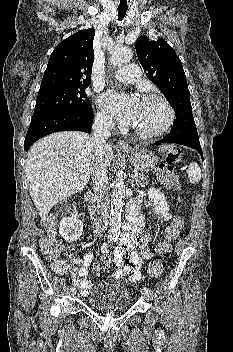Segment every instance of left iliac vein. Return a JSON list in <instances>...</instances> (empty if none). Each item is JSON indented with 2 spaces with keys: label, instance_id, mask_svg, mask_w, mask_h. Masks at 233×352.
Instances as JSON below:
<instances>
[{
  "label": "left iliac vein",
  "instance_id": "4c4485c4",
  "mask_svg": "<svg viewBox=\"0 0 233 352\" xmlns=\"http://www.w3.org/2000/svg\"><path fill=\"white\" fill-rule=\"evenodd\" d=\"M142 298L144 300H148L149 299V293H146L145 291L142 292Z\"/></svg>",
  "mask_w": 233,
  "mask_h": 352
}]
</instances>
